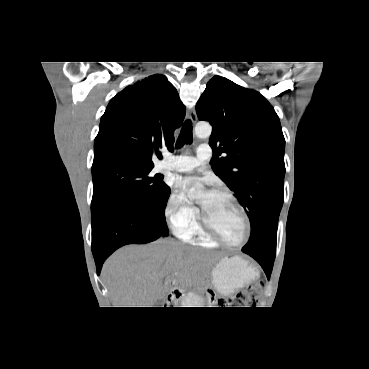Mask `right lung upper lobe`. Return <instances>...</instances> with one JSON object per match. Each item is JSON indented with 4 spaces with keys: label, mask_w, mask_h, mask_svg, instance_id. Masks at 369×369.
Segmentation results:
<instances>
[{
    "label": "right lung upper lobe",
    "mask_w": 369,
    "mask_h": 369,
    "mask_svg": "<svg viewBox=\"0 0 369 369\" xmlns=\"http://www.w3.org/2000/svg\"><path fill=\"white\" fill-rule=\"evenodd\" d=\"M185 111L176 88L163 75L126 87L111 99L101 118L93 165L154 166L152 155L162 157L159 148L172 150L174 130L181 126Z\"/></svg>",
    "instance_id": "1"
}]
</instances>
